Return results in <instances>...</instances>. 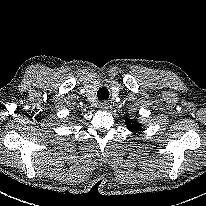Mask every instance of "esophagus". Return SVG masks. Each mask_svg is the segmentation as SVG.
<instances>
[{"instance_id":"34e87169","label":"esophagus","mask_w":206,"mask_h":206,"mask_svg":"<svg viewBox=\"0 0 206 206\" xmlns=\"http://www.w3.org/2000/svg\"><path fill=\"white\" fill-rule=\"evenodd\" d=\"M99 108H100L101 110H108V108H109V103H108L107 101H102V102H100V104H99Z\"/></svg>"}]
</instances>
